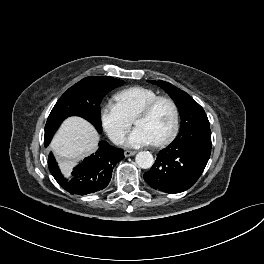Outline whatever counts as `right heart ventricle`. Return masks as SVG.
Returning a JSON list of instances; mask_svg holds the SVG:
<instances>
[{"label":"right heart ventricle","instance_id":"right-heart-ventricle-1","mask_svg":"<svg viewBox=\"0 0 264 264\" xmlns=\"http://www.w3.org/2000/svg\"><path fill=\"white\" fill-rule=\"evenodd\" d=\"M160 96L151 88L135 86L123 89L116 93V103L131 120L151 100Z\"/></svg>","mask_w":264,"mask_h":264}]
</instances>
